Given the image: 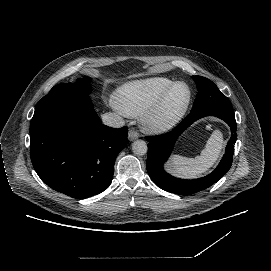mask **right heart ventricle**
<instances>
[{
    "label": "right heart ventricle",
    "instance_id": "1",
    "mask_svg": "<svg viewBox=\"0 0 271 271\" xmlns=\"http://www.w3.org/2000/svg\"><path fill=\"white\" fill-rule=\"evenodd\" d=\"M173 82L175 80L169 77L155 76L125 84L117 92L120 110L128 116H139L145 113Z\"/></svg>",
    "mask_w": 271,
    "mask_h": 271
}]
</instances>
